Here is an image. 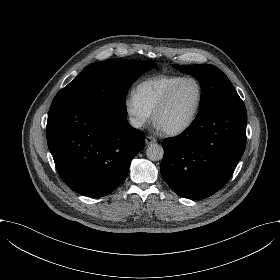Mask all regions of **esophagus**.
<instances>
[{"instance_id":"esophagus-1","label":"esophagus","mask_w":280,"mask_h":280,"mask_svg":"<svg viewBox=\"0 0 280 280\" xmlns=\"http://www.w3.org/2000/svg\"><path fill=\"white\" fill-rule=\"evenodd\" d=\"M157 140L154 138V137H152V136H146V138H145V143H146V145H150V144H152V143H155Z\"/></svg>"}]
</instances>
